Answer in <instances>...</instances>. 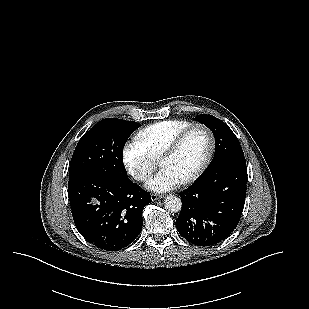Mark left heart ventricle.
I'll return each mask as SVG.
<instances>
[{"instance_id":"1","label":"left heart ventricle","mask_w":309,"mask_h":309,"mask_svg":"<svg viewBox=\"0 0 309 309\" xmlns=\"http://www.w3.org/2000/svg\"><path fill=\"white\" fill-rule=\"evenodd\" d=\"M209 149V139L203 129H194L185 138L177 152L165 159L162 168L170 169L182 181L203 163Z\"/></svg>"}]
</instances>
